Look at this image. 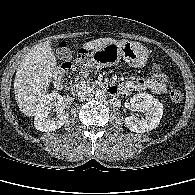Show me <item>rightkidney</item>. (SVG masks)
Segmentation results:
<instances>
[{
	"mask_svg": "<svg viewBox=\"0 0 195 195\" xmlns=\"http://www.w3.org/2000/svg\"><path fill=\"white\" fill-rule=\"evenodd\" d=\"M63 104V97L56 92L44 95L36 107L35 128L41 132H51L61 128L67 119L62 108ZM53 108L56 111V117L50 115Z\"/></svg>",
	"mask_w": 195,
	"mask_h": 195,
	"instance_id": "1",
	"label": "right kidney"
}]
</instances>
